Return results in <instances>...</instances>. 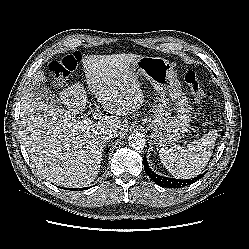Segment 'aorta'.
I'll list each match as a JSON object with an SVG mask.
<instances>
[{
	"mask_svg": "<svg viewBox=\"0 0 249 249\" xmlns=\"http://www.w3.org/2000/svg\"><path fill=\"white\" fill-rule=\"evenodd\" d=\"M129 146L135 150H141L145 147L146 140L143 134L134 133L128 138Z\"/></svg>",
	"mask_w": 249,
	"mask_h": 249,
	"instance_id": "1",
	"label": "aorta"
}]
</instances>
